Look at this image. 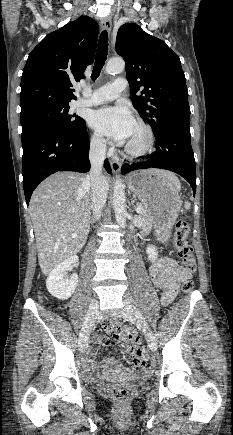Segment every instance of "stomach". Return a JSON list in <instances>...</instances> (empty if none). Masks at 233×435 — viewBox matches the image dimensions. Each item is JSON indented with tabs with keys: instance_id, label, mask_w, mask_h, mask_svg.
I'll use <instances>...</instances> for the list:
<instances>
[{
	"instance_id": "0dacf381",
	"label": "stomach",
	"mask_w": 233,
	"mask_h": 435,
	"mask_svg": "<svg viewBox=\"0 0 233 435\" xmlns=\"http://www.w3.org/2000/svg\"><path fill=\"white\" fill-rule=\"evenodd\" d=\"M127 181L129 189L147 207L152 225L167 237L182 206L180 185L171 176L154 171L134 172Z\"/></svg>"
}]
</instances>
